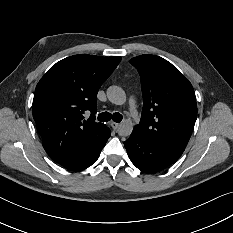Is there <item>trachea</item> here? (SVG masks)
<instances>
[{
	"label": "trachea",
	"instance_id": "obj_1",
	"mask_svg": "<svg viewBox=\"0 0 233 233\" xmlns=\"http://www.w3.org/2000/svg\"><path fill=\"white\" fill-rule=\"evenodd\" d=\"M113 120L114 122H121L122 121V115L120 113H109V112H103L98 115V120L100 122H107L110 120Z\"/></svg>",
	"mask_w": 233,
	"mask_h": 233
}]
</instances>
